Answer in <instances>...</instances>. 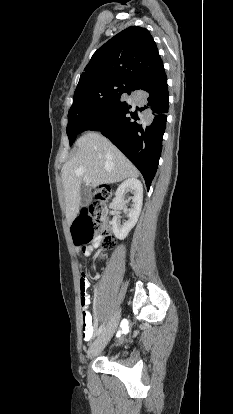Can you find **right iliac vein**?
I'll use <instances>...</instances> for the list:
<instances>
[{
    "mask_svg": "<svg viewBox=\"0 0 233 414\" xmlns=\"http://www.w3.org/2000/svg\"><path fill=\"white\" fill-rule=\"evenodd\" d=\"M119 318H120V311H118L113 316V318L111 319V321L109 322L105 330L102 332V334L96 339V341L89 348L88 358L95 357L105 348V346L111 339L113 333L115 332Z\"/></svg>",
    "mask_w": 233,
    "mask_h": 414,
    "instance_id": "63e3f726",
    "label": "right iliac vein"
}]
</instances>
